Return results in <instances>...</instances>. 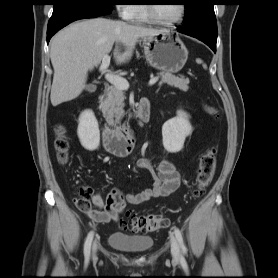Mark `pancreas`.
<instances>
[{
  "label": "pancreas",
  "instance_id": "1",
  "mask_svg": "<svg viewBox=\"0 0 278 278\" xmlns=\"http://www.w3.org/2000/svg\"><path fill=\"white\" fill-rule=\"evenodd\" d=\"M161 80L159 85L167 83L180 90L187 91L189 79L184 76H174L170 73H160ZM124 99L125 95L122 89L110 86L106 89L105 95L101 102V109L109 123H114V118L118 122L124 116Z\"/></svg>",
  "mask_w": 278,
  "mask_h": 278
}]
</instances>
